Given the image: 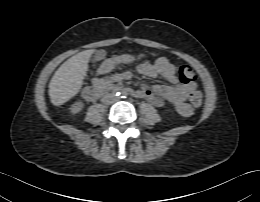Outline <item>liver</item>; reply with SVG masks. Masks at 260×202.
<instances>
[{
	"instance_id": "1",
	"label": "liver",
	"mask_w": 260,
	"mask_h": 202,
	"mask_svg": "<svg viewBox=\"0 0 260 202\" xmlns=\"http://www.w3.org/2000/svg\"><path fill=\"white\" fill-rule=\"evenodd\" d=\"M94 49L82 51L66 60L55 72L49 83L51 103L60 106L81 90Z\"/></svg>"
}]
</instances>
